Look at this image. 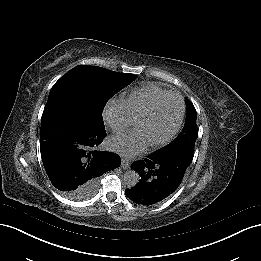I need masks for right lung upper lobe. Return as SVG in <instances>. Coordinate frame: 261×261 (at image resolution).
Segmentation results:
<instances>
[{
  "label": "right lung upper lobe",
  "instance_id": "right-lung-upper-lobe-1",
  "mask_svg": "<svg viewBox=\"0 0 261 261\" xmlns=\"http://www.w3.org/2000/svg\"><path fill=\"white\" fill-rule=\"evenodd\" d=\"M127 74H129V73H127ZM129 75L134 76L133 74H129Z\"/></svg>",
  "mask_w": 261,
  "mask_h": 261
}]
</instances>
